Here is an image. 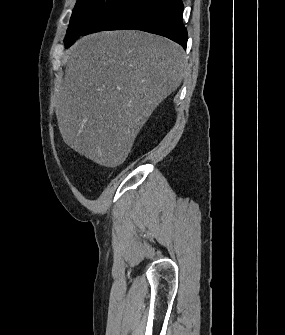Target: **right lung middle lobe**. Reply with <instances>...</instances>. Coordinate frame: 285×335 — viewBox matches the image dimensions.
<instances>
[{
  "instance_id": "obj_1",
  "label": "right lung middle lobe",
  "mask_w": 285,
  "mask_h": 335,
  "mask_svg": "<svg viewBox=\"0 0 285 335\" xmlns=\"http://www.w3.org/2000/svg\"><path fill=\"white\" fill-rule=\"evenodd\" d=\"M117 1L118 0H77L64 40L66 47L73 44L92 22L111 8Z\"/></svg>"
}]
</instances>
